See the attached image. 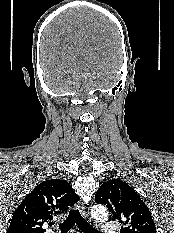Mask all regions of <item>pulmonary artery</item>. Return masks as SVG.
<instances>
[{
	"label": "pulmonary artery",
	"instance_id": "pulmonary-artery-1",
	"mask_svg": "<svg viewBox=\"0 0 174 233\" xmlns=\"http://www.w3.org/2000/svg\"><path fill=\"white\" fill-rule=\"evenodd\" d=\"M102 229L105 233H118L117 226L112 222L104 223Z\"/></svg>",
	"mask_w": 174,
	"mask_h": 233
}]
</instances>
